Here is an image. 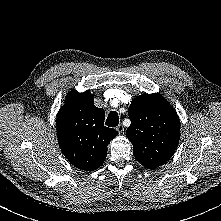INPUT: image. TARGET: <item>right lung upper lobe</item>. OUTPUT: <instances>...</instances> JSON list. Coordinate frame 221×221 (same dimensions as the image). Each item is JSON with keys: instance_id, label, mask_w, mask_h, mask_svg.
Instances as JSON below:
<instances>
[{"instance_id": "cb5924a9", "label": "right lung upper lobe", "mask_w": 221, "mask_h": 221, "mask_svg": "<svg viewBox=\"0 0 221 221\" xmlns=\"http://www.w3.org/2000/svg\"><path fill=\"white\" fill-rule=\"evenodd\" d=\"M89 91L71 90L58 113V143L69 162L86 171L99 168L107 155V145L117 131L104 126L105 112L97 108Z\"/></svg>"}]
</instances>
